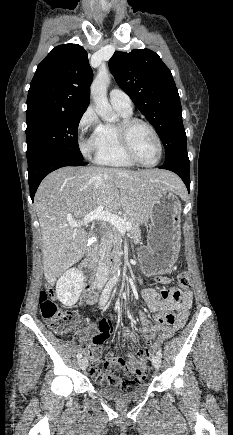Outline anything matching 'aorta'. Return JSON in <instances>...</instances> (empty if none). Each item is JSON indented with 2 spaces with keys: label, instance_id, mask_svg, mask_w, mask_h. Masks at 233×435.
<instances>
[{
  "label": "aorta",
  "instance_id": "762f6f07",
  "mask_svg": "<svg viewBox=\"0 0 233 435\" xmlns=\"http://www.w3.org/2000/svg\"><path fill=\"white\" fill-rule=\"evenodd\" d=\"M110 83V74L106 69H100L95 77L91 88L90 95L93 100L96 113L105 121L113 122L117 120V115L113 111L107 98V88ZM120 272L115 275L118 279Z\"/></svg>",
  "mask_w": 233,
  "mask_h": 435
}]
</instances>
